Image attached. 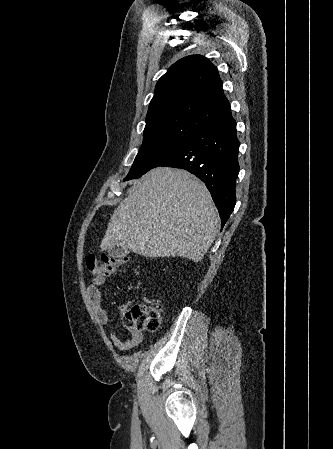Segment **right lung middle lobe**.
Instances as JSON below:
<instances>
[{"mask_svg":"<svg viewBox=\"0 0 333 449\" xmlns=\"http://www.w3.org/2000/svg\"><path fill=\"white\" fill-rule=\"evenodd\" d=\"M201 129V127L192 124L174 123L144 132L142 147L134 160L126 180L139 178L154 168L160 160Z\"/></svg>","mask_w":333,"mask_h":449,"instance_id":"1","label":"right lung middle lobe"}]
</instances>
